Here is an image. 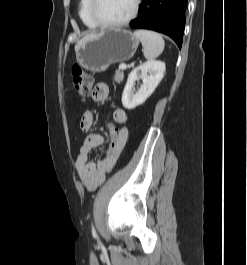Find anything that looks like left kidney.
Here are the masks:
<instances>
[{
	"label": "left kidney",
	"instance_id": "left-kidney-1",
	"mask_svg": "<svg viewBox=\"0 0 247 265\" xmlns=\"http://www.w3.org/2000/svg\"><path fill=\"white\" fill-rule=\"evenodd\" d=\"M165 70L164 62L149 60L131 71L122 94L123 106L131 110L144 103L163 79ZM140 79L143 83L138 91L133 93L132 88L135 81Z\"/></svg>",
	"mask_w": 247,
	"mask_h": 265
}]
</instances>
